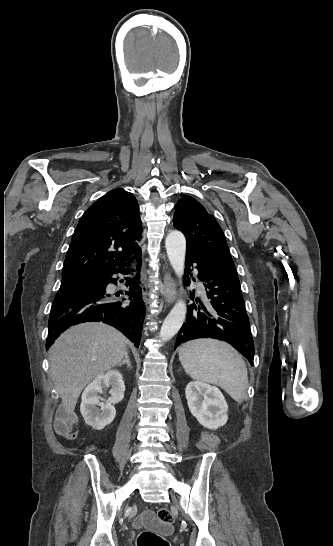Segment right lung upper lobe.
I'll return each instance as SVG.
<instances>
[{"mask_svg": "<svg viewBox=\"0 0 333 546\" xmlns=\"http://www.w3.org/2000/svg\"><path fill=\"white\" fill-rule=\"evenodd\" d=\"M141 234L134 195L121 188L109 191L79 220L64 261L62 281L124 266L141 254L135 243ZM120 247L122 251H115Z\"/></svg>", "mask_w": 333, "mask_h": 546, "instance_id": "1", "label": "right lung upper lobe"}]
</instances>
